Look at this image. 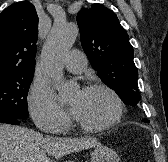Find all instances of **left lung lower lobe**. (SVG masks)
<instances>
[{
    "label": "left lung lower lobe",
    "mask_w": 168,
    "mask_h": 162,
    "mask_svg": "<svg viewBox=\"0 0 168 162\" xmlns=\"http://www.w3.org/2000/svg\"><path fill=\"white\" fill-rule=\"evenodd\" d=\"M143 121H144V122H148V120H147V119H143Z\"/></svg>",
    "instance_id": "0a47b994"
}]
</instances>
